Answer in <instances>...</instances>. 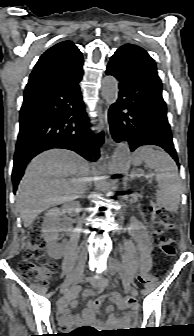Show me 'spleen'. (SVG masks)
<instances>
[{"mask_svg": "<svg viewBox=\"0 0 194 336\" xmlns=\"http://www.w3.org/2000/svg\"><path fill=\"white\" fill-rule=\"evenodd\" d=\"M133 162L136 166L144 162L149 168L154 169L158 185L157 201L165 210L175 212L180 204L182 184L178 168L172 158L164 151L143 146L136 151Z\"/></svg>", "mask_w": 194, "mask_h": 336, "instance_id": "3e777b00", "label": "spleen"}]
</instances>
